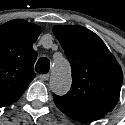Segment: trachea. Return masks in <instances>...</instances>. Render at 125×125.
Segmentation results:
<instances>
[{
	"label": "trachea",
	"mask_w": 125,
	"mask_h": 125,
	"mask_svg": "<svg viewBox=\"0 0 125 125\" xmlns=\"http://www.w3.org/2000/svg\"><path fill=\"white\" fill-rule=\"evenodd\" d=\"M50 69V61L48 58L42 57L38 60L35 66V71L40 74H46Z\"/></svg>",
	"instance_id": "3493384b"
}]
</instances>
